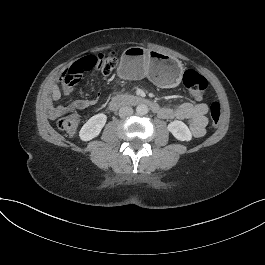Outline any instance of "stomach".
<instances>
[{"mask_svg":"<svg viewBox=\"0 0 265 265\" xmlns=\"http://www.w3.org/2000/svg\"><path fill=\"white\" fill-rule=\"evenodd\" d=\"M182 63L175 57L143 47L126 49L120 59L118 74L124 79L149 78L162 87H176L181 80Z\"/></svg>","mask_w":265,"mask_h":265,"instance_id":"0dacf381","label":"stomach"}]
</instances>
